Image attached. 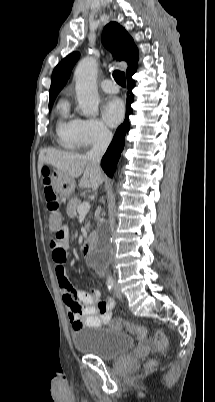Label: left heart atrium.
Masks as SVG:
<instances>
[{
  "label": "left heart atrium",
  "mask_w": 215,
  "mask_h": 402,
  "mask_svg": "<svg viewBox=\"0 0 215 402\" xmlns=\"http://www.w3.org/2000/svg\"><path fill=\"white\" fill-rule=\"evenodd\" d=\"M124 105L119 98L109 99L102 108V117L110 127L117 126L124 117Z\"/></svg>",
  "instance_id": "obj_1"
}]
</instances>
